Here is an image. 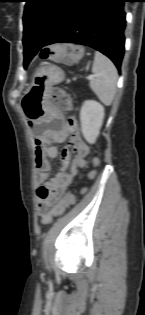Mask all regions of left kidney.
I'll return each instance as SVG.
<instances>
[{"instance_id":"1","label":"left kidney","mask_w":145,"mask_h":315,"mask_svg":"<svg viewBox=\"0 0 145 315\" xmlns=\"http://www.w3.org/2000/svg\"><path fill=\"white\" fill-rule=\"evenodd\" d=\"M104 119V107L94 100H87L80 110L81 132L85 140L93 144L99 136Z\"/></svg>"}]
</instances>
